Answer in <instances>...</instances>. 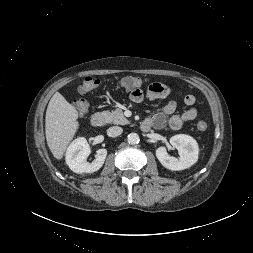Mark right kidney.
<instances>
[{
  "instance_id": "ca27d5eb",
  "label": "right kidney",
  "mask_w": 253,
  "mask_h": 253,
  "mask_svg": "<svg viewBox=\"0 0 253 253\" xmlns=\"http://www.w3.org/2000/svg\"><path fill=\"white\" fill-rule=\"evenodd\" d=\"M90 153L91 149L87 140L84 137H79L67 148L66 164L73 172L78 174L93 173L98 171L104 164L107 156V150H97L94 161L88 163L86 162V159Z\"/></svg>"
}]
</instances>
